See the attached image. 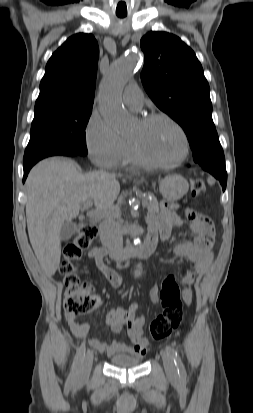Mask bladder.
<instances>
[{
	"mask_svg": "<svg viewBox=\"0 0 253 413\" xmlns=\"http://www.w3.org/2000/svg\"><path fill=\"white\" fill-rule=\"evenodd\" d=\"M110 362L112 365L119 368H132L141 363V358L127 355H116L110 359Z\"/></svg>",
	"mask_w": 253,
	"mask_h": 413,
	"instance_id": "obj_1",
	"label": "bladder"
}]
</instances>
